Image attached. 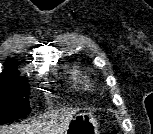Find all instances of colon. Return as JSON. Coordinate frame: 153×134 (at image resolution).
Listing matches in <instances>:
<instances>
[{"instance_id":"obj_1","label":"colon","mask_w":153,"mask_h":134,"mask_svg":"<svg viewBox=\"0 0 153 134\" xmlns=\"http://www.w3.org/2000/svg\"><path fill=\"white\" fill-rule=\"evenodd\" d=\"M104 134H118V133L116 131H111V132L104 133Z\"/></svg>"}]
</instances>
